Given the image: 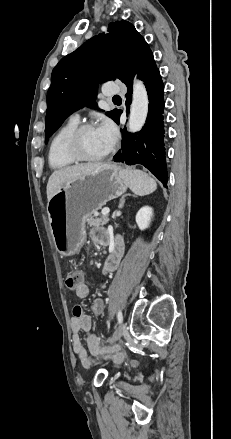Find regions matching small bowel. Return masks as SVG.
Instances as JSON below:
<instances>
[{
	"mask_svg": "<svg viewBox=\"0 0 231 439\" xmlns=\"http://www.w3.org/2000/svg\"><path fill=\"white\" fill-rule=\"evenodd\" d=\"M91 239L94 243L103 245L110 244L108 256L104 262L103 273L105 275L115 271L119 265L120 259L124 252V243L121 237L111 239L107 231L103 228H94L91 231ZM90 283H77L75 293L77 298L83 300L88 298L91 291ZM100 289L103 285L99 286ZM72 290V288H69ZM89 312L95 315H101L104 312V301L102 298H97L89 307ZM72 335V346L74 353L78 356L79 361L85 367L92 364L89 357V352L96 356L100 353L101 340L92 332L91 316L82 306L77 305L73 309V317L70 321ZM80 331L86 335L87 348L83 345L80 338ZM119 360V356H115Z\"/></svg>",
	"mask_w": 231,
	"mask_h": 439,
	"instance_id": "1",
	"label": "small bowel"
}]
</instances>
